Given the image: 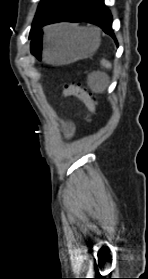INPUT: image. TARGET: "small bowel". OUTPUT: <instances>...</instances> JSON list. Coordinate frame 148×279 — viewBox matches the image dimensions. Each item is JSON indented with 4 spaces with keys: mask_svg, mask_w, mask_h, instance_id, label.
I'll list each match as a JSON object with an SVG mask.
<instances>
[{
    "mask_svg": "<svg viewBox=\"0 0 148 279\" xmlns=\"http://www.w3.org/2000/svg\"><path fill=\"white\" fill-rule=\"evenodd\" d=\"M73 131H74V127L71 124L67 125V127H66V135L67 136H71Z\"/></svg>",
    "mask_w": 148,
    "mask_h": 279,
    "instance_id": "obj_1",
    "label": "small bowel"
}]
</instances>
